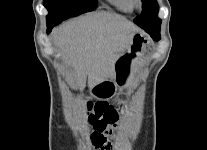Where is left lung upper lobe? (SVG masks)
I'll return each instance as SVG.
<instances>
[{
	"mask_svg": "<svg viewBox=\"0 0 207 150\" xmlns=\"http://www.w3.org/2000/svg\"><path fill=\"white\" fill-rule=\"evenodd\" d=\"M142 14L134 22L150 33H160L161 19L158 18L159 6L156 0H142Z\"/></svg>",
	"mask_w": 207,
	"mask_h": 150,
	"instance_id": "obj_1",
	"label": "left lung upper lobe"
}]
</instances>
